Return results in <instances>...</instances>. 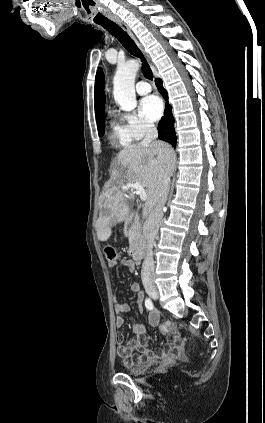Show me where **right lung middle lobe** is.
<instances>
[{"label": "right lung middle lobe", "mask_w": 265, "mask_h": 423, "mask_svg": "<svg viewBox=\"0 0 265 423\" xmlns=\"http://www.w3.org/2000/svg\"><path fill=\"white\" fill-rule=\"evenodd\" d=\"M104 117L105 116H103L99 121H97L98 134L100 137L104 135V129H105Z\"/></svg>", "instance_id": "1"}]
</instances>
